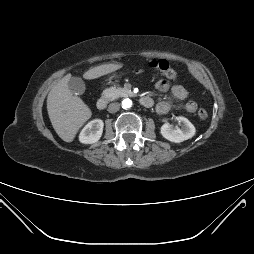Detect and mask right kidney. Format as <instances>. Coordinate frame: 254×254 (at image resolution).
<instances>
[{
	"label": "right kidney",
	"instance_id": "1",
	"mask_svg": "<svg viewBox=\"0 0 254 254\" xmlns=\"http://www.w3.org/2000/svg\"><path fill=\"white\" fill-rule=\"evenodd\" d=\"M104 122L101 119L90 121L82 129L79 135V141L84 144H93L97 142L103 133Z\"/></svg>",
	"mask_w": 254,
	"mask_h": 254
}]
</instances>
